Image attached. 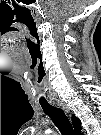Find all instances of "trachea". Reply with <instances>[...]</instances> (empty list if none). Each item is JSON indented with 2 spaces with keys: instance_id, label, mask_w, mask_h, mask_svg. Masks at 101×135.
Instances as JSON below:
<instances>
[{
  "instance_id": "3493384b",
  "label": "trachea",
  "mask_w": 101,
  "mask_h": 135,
  "mask_svg": "<svg viewBox=\"0 0 101 135\" xmlns=\"http://www.w3.org/2000/svg\"><path fill=\"white\" fill-rule=\"evenodd\" d=\"M40 104L45 114H47L51 118V120L58 127L62 135L75 134L68 117L62 109L56 108L47 102Z\"/></svg>"
}]
</instances>
